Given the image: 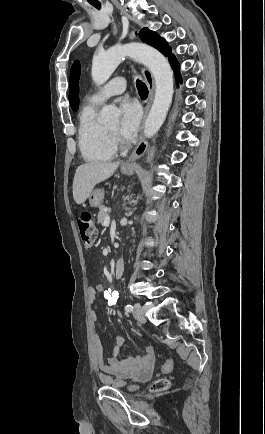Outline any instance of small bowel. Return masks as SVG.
I'll list each match as a JSON object with an SVG mask.
<instances>
[{
	"label": "small bowel",
	"instance_id": "1",
	"mask_svg": "<svg viewBox=\"0 0 265 434\" xmlns=\"http://www.w3.org/2000/svg\"><path fill=\"white\" fill-rule=\"evenodd\" d=\"M104 286L101 283L87 290V296L90 303H93L100 292H104ZM116 314L120 318L124 317L122 310H117ZM97 313L91 312V318L97 320ZM125 346V340L117 338L116 347L109 355H106L104 345L97 333L93 335L94 361L96 366L101 370L100 376L103 378L107 387H120L127 380L136 382H146L153 375L152 364L155 358L153 345L149 344L144 349L142 355L128 358H120L119 354ZM116 378H112L111 375Z\"/></svg>",
	"mask_w": 265,
	"mask_h": 434
}]
</instances>
